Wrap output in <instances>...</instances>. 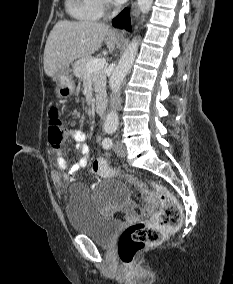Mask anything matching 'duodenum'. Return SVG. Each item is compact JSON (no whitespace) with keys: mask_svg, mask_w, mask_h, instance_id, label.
I'll return each mask as SVG.
<instances>
[{"mask_svg":"<svg viewBox=\"0 0 233 284\" xmlns=\"http://www.w3.org/2000/svg\"><path fill=\"white\" fill-rule=\"evenodd\" d=\"M106 109V102L105 101H101L99 103H97L96 105V112L98 113V115H103Z\"/></svg>","mask_w":233,"mask_h":284,"instance_id":"1","label":"duodenum"}]
</instances>
